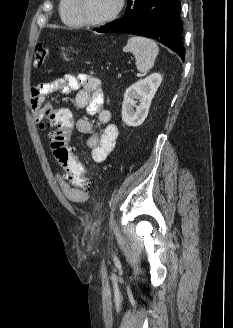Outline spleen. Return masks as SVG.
<instances>
[{
  "label": "spleen",
  "instance_id": "spleen-1",
  "mask_svg": "<svg viewBox=\"0 0 233 328\" xmlns=\"http://www.w3.org/2000/svg\"><path fill=\"white\" fill-rule=\"evenodd\" d=\"M123 51L134 55L136 68L140 73H147L154 66L159 47L152 39L133 36L128 39Z\"/></svg>",
  "mask_w": 233,
  "mask_h": 328
}]
</instances>
